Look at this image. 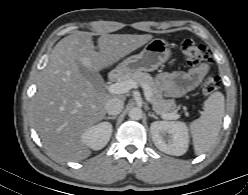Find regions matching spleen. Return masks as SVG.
<instances>
[{"mask_svg":"<svg viewBox=\"0 0 248 195\" xmlns=\"http://www.w3.org/2000/svg\"><path fill=\"white\" fill-rule=\"evenodd\" d=\"M225 100L221 92H214L204 102V112L190 124L195 154L207 152L216 142L224 116Z\"/></svg>","mask_w":248,"mask_h":195,"instance_id":"1","label":"spleen"}]
</instances>
